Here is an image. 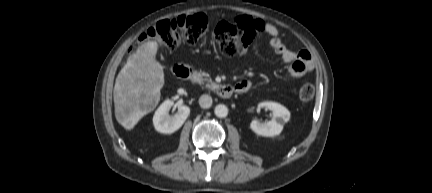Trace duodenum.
I'll list each match as a JSON object with an SVG mask.
<instances>
[{
	"label": "duodenum",
	"instance_id": "duodenum-1",
	"mask_svg": "<svg viewBox=\"0 0 432 193\" xmlns=\"http://www.w3.org/2000/svg\"><path fill=\"white\" fill-rule=\"evenodd\" d=\"M173 73L176 77L184 80L195 81L197 74L193 68L187 65L176 64L173 66ZM218 94L222 98H229L236 91L235 86L221 85L218 87Z\"/></svg>",
	"mask_w": 432,
	"mask_h": 193
}]
</instances>
